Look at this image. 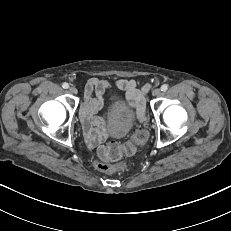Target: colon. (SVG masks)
Returning <instances> with one entry per match:
<instances>
[{"label":"colon","instance_id":"colon-1","mask_svg":"<svg viewBox=\"0 0 231 231\" xmlns=\"http://www.w3.org/2000/svg\"><path fill=\"white\" fill-rule=\"evenodd\" d=\"M148 138V133L143 127H138L130 140L125 144H119L115 141H110L102 146L99 151V159L95 160V167L104 173L113 174L127 169L124 164H113L121 158L122 155H132L139 147L145 144Z\"/></svg>","mask_w":231,"mask_h":231}]
</instances>
